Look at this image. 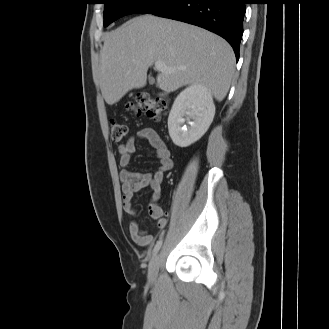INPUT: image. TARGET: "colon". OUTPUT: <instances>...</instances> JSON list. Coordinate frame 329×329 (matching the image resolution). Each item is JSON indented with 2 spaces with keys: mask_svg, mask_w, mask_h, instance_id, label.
<instances>
[{
  "mask_svg": "<svg viewBox=\"0 0 329 329\" xmlns=\"http://www.w3.org/2000/svg\"><path fill=\"white\" fill-rule=\"evenodd\" d=\"M127 110L141 116L146 115L153 120H159L165 113V105L159 99H153L147 94H140L136 100L126 105ZM111 138L114 142H121L127 135V126L116 120L111 119L109 122Z\"/></svg>",
  "mask_w": 329,
  "mask_h": 329,
  "instance_id": "obj_1",
  "label": "colon"
}]
</instances>
